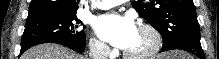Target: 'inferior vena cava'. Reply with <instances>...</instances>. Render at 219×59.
I'll return each mask as SVG.
<instances>
[{
  "instance_id": "inferior-vena-cava-1",
  "label": "inferior vena cava",
  "mask_w": 219,
  "mask_h": 59,
  "mask_svg": "<svg viewBox=\"0 0 219 59\" xmlns=\"http://www.w3.org/2000/svg\"><path fill=\"white\" fill-rule=\"evenodd\" d=\"M109 50L103 43H95L90 46V58L91 59H106Z\"/></svg>"
}]
</instances>
